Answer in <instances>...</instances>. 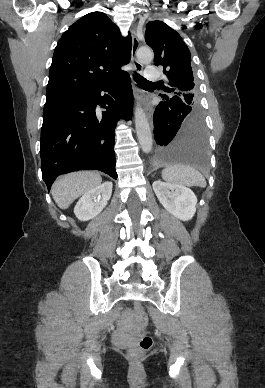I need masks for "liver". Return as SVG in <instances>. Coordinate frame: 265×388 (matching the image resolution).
<instances>
[{"label":"liver","mask_w":265,"mask_h":388,"mask_svg":"<svg viewBox=\"0 0 265 388\" xmlns=\"http://www.w3.org/2000/svg\"><path fill=\"white\" fill-rule=\"evenodd\" d=\"M101 182L102 178L96 172H72L54 182L51 194L58 208L67 210L74 200L100 186Z\"/></svg>","instance_id":"liver-1"}]
</instances>
